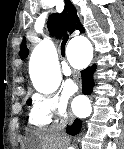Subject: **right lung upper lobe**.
Wrapping results in <instances>:
<instances>
[{"label":"right lung upper lobe","instance_id":"cb5924a9","mask_svg":"<svg viewBox=\"0 0 124 149\" xmlns=\"http://www.w3.org/2000/svg\"><path fill=\"white\" fill-rule=\"evenodd\" d=\"M47 27L50 33L54 36H62L66 30L70 33L75 30H79L81 33L84 32V28L77 16V11L69 0H65V8L62 13H54L50 15ZM28 54L29 50L26 47L24 39L20 46V56L24 59Z\"/></svg>","mask_w":124,"mask_h":149}]
</instances>
